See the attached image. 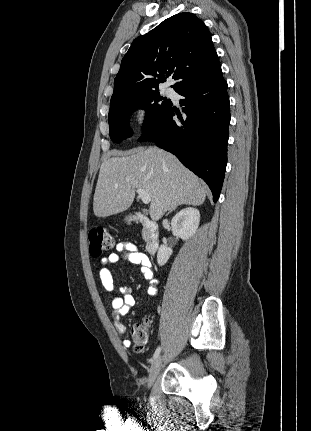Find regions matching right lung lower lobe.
<instances>
[{"label": "right lung lower lobe", "instance_id": "1", "mask_svg": "<svg viewBox=\"0 0 311 431\" xmlns=\"http://www.w3.org/2000/svg\"><path fill=\"white\" fill-rule=\"evenodd\" d=\"M178 94L184 118L171 105L145 126L139 141H152L173 153L187 168L201 177L219 198L227 164L228 125L230 123L227 83L222 71L185 84ZM177 114L179 120L172 117Z\"/></svg>", "mask_w": 311, "mask_h": 431}]
</instances>
